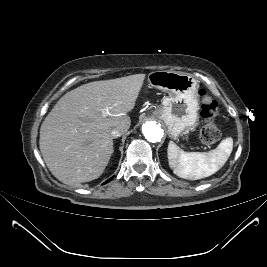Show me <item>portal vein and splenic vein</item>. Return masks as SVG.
<instances>
[{
    "label": "portal vein and splenic vein",
    "mask_w": 267,
    "mask_h": 267,
    "mask_svg": "<svg viewBox=\"0 0 267 267\" xmlns=\"http://www.w3.org/2000/svg\"><path fill=\"white\" fill-rule=\"evenodd\" d=\"M109 114L108 111H106L105 113H103V116H107Z\"/></svg>",
    "instance_id": "1"
}]
</instances>
